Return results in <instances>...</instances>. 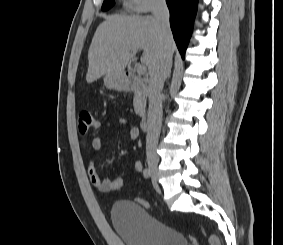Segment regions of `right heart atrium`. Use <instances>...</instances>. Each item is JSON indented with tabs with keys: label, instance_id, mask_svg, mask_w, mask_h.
Here are the masks:
<instances>
[{
	"label": "right heart atrium",
	"instance_id": "1",
	"mask_svg": "<svg viewBox=\"0 0 283 245\" xmlns=\"http://www.w3.org/2000/svg\"><path fill=\"white\" fill-rule=\"evenodd\" d=\"M125 2L135 12H147L162 5L164 0H125Z\"/></svg>",
	"mask_w": 283,
	"mask_h": 245
}]
</instances>
